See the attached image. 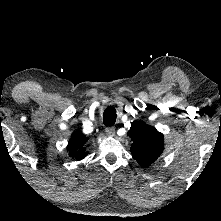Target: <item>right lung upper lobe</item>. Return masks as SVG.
Listing matches in <instances>:
<instances>
[{
    "label": "right lung upper lobe",
    "instance_id": "obj_1",
    "mask_svg": "<svg viewBox=\"0 0 221 221\" xmlns=\"http://www.w3.org/2000/svg\"><path fill=\"white\" fill-rule=\"evenodd\" d=\"M88 137H86L81 131H75L69 142L67 149L69 151V155L77 160H81L86 156V147L85 143L87 142Z\"/></svg>",
    "mask_w": 221,
    "mask_h": 221
}]
</instances>
